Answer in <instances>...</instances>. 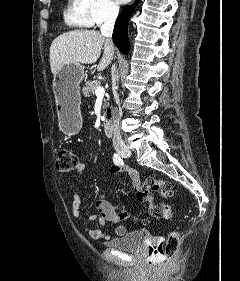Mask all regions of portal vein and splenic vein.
Here are the masks:
<instances>
[{"instance_id":"18ae733b","label":"portal vein and splenic vein","mask_w":240,"mask_h":281,"mask_svg":"<svg viewBox=\"0 0 240 281\" xmlns=\"http://www.w3.org/2000/svg\"><path fill=\"white\" fill-rule=\"evenodd\" d=\"M95 95L96 97L98 98H103L104 95H105V90L103 87L101 86H98L96 89H95Z\"/></svg>"}]
</instances>
